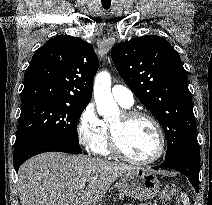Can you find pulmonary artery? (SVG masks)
I'll use <instances>...</instances> for the list:
<instances>
[{
  "mask_svg": "<svg viewBox=\"0 0 212 205\" xmlns=\"http://www.w3.org/2000/svg\"><path fill=\"white\" fill-rule=\"evenodd\" d=\"M112 95L119 104L124 107H131L134 103L132 91L124 85H114L112 87Z\"/></svg>",
  "mask_w": 212,
  "mask_h": 205,
  "instance_id": "e3ab8cb5",
  "label": "pulmonary artery"
}]
</instances>
